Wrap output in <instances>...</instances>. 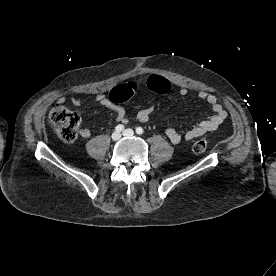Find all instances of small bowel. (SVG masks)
<instances>
[{
    "mask_svg": "<svg viewBox=\"0 0 276 276\" xmlns=\"http://www.w3.org/2000/svg\"><path fill=\"white\" fill-rule=\"evenodd\" d=\"M151 80H155L157 83V87L156 88H150L148 83ZM147 85L148 87L155 91V92H159V93H166L169 90V87L160 82V78L158 77H152L149 78L147 81ZM124 88H126L129 93H130V97L134 96L137 92H138V84L134 81H130L128 83H126L124 86ZM188 92L186 87H180L178 90V93L182 96L186 95ZM198 98L207 102L211 109L213 114L206 120H203L201 122L196 123L194 126H192L190 129H188L185 132H180L172 127H169L165 130V135L167 136V138L170 140L171 143L173 144H178L182 141H191L195 138L201 137L203 135H205L206 133L215 131L225 120L226 116H227V112L224 109V107L222 106V104L219 102L218 98L216 95L206 92V91H200L197 94ZM94 97L95 100L102 106H105L107 108H109L110 110H112L115 115H116V120L118 122H128V117L126 115V112L124 110V108L118 104H116L114 101L110 100L106 94L101 93V92H96L94 93ZM66 101L65 97H61L59 99L60 103H63ZM81 98L78 96H72L71 97V103L75 106H79L81 105ZM154 111V106H149L141 111H139L135 116L134 119L139 121V122H147L149 121L151 114ZM80 136L82 138H89L91 135V132L89 129L87 128H83L80 130L79 132Z\"/></svg>",
    "mask_w": 276,
    "mask_h": 276,
    "instance_id": "obj_1",
    "label": "small bowel"
}]
</instances>
